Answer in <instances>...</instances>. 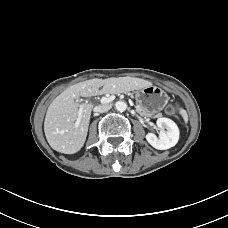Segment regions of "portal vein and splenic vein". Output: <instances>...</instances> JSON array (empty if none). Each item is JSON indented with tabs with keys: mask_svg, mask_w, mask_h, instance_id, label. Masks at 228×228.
<instances>
[{
	"mask_svg": "<svg viewBox=\"0 0 228 228\" xmlns=\"http://www.w3.org/2000/svg\"><path fill=\"white\" fill-rule=\"evenodd\" d=\"M114 98H115L114 96L102 97L100 101L102 103H110L111 101L114 100ZM82 113H83V106H80L79 111H78V118L76 121V125H79L81 118H82Z\"/></svg>",
	"mask_w": 228,
	"mask_h": 228,
	"instance_id": "portal-vein-and-splenic-vein-1",
	"label": "portal vein and splenic vein"
}]
</instances>
